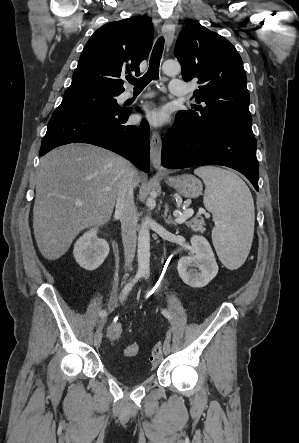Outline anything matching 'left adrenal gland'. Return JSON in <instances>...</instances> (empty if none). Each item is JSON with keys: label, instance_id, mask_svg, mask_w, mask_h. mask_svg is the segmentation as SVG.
<instances>
[{"label": "left adrenal gland", "instance_id": "obj_1", "mask_svg": "<svg viewBox=\"0 0 299 443\" xmlns=\"http://www.w3.org/2000/svg\"><path fill=\"white\" fill-rule=\"evenodd\" d=\"M168 211H169V207L168 204L165 205V211H164V215L163 218L166 222V224L168 225H176V222L173 220V218L171 216H168ZM168 216V218H167Z\"/></svg>", "mask_w": 299, "mask_h": 443}]
</instances>
